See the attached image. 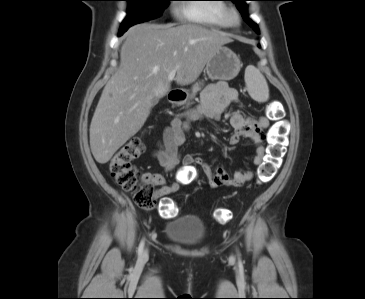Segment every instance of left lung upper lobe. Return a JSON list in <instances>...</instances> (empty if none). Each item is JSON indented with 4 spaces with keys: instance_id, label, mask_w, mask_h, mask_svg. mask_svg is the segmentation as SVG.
<instances>
[{
    "instance_id": "obj_1",
    "label": "left lung upper lobe",
    "mask_w": 365,
    "mask_h": 299,
    "mask_svg": "<svg viewBox=\"0 0 365 299\" xmlns=\"http://www.w3.org/2000/svg\"><path fill=\"white\" fill-rule=\"evenodd\" d=\"M229 1H233L234 3H236V6H237L238 10L240 11V13L242 14L243 19L253 28V30L257 34H259L260 31H259L257 24L248 18L247 5L245 4V1H248V0H229Z\"/></svg>"
}]
</instances>
